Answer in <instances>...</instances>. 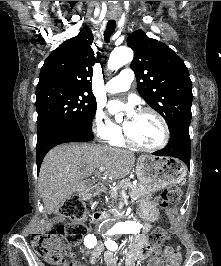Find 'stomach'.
Segmentation results:
<instances>
[{"instance_id":"0dacf381","label":"stomach","mask_w":221,"mask_h":266,"mask_svg":"<svg viewBox=\"0 0 221 266\" xmlns=\"http://www.w3.org/2000/svg\"><path fill=\"white\" fill-rule=\"evenodd\" d=\"M186 171L185 165L170 157L141 155L136 164L139 182L146 186L150 192L182 183ZM142 207L148 213L152 211V207L147 201H142Z\"/></svg>"}]
</instances>
